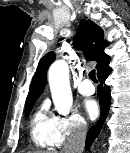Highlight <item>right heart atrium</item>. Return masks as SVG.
Returning <instances> with one entry per match:
<instances>
[{"instance_id": "obj_1", "label": "right heart atrium", "mask_w": 130, "mask_h": 153, "mask_svg": "<svg viewBox=\"0 0 130 153\" xmlns=\"http://www.w3.org/2000/svg\"><path fill=\"white\" fill-rule=\"evenodd\" d=\"M86 128V121L78 113L58 117L57 145L61 146L68 140L83 136Z\"/></svg>"}]
</instances>
